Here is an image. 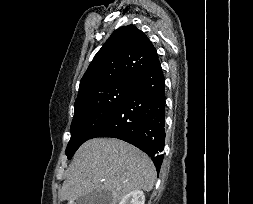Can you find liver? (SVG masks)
Masks as SVG:
<instances>
[{
	"instance_id": "6515ba94",
	"label": "liver",
	"mask_w": 253,
	"mask_h": 204,
	"mask_svg": "<svg viewBox=\"0 0 253 204\" xmlns=\"http://www.w3.org/2000/svg\"><path fill=\"white\" fill-rule=\"evenodd\" d=\"M156 169L150 157L114 138H94L75 153L66 173L60 200L74 203L95 191H109L112 204L135 190L151 191Z\"/></svg>"
}]
</instances>
